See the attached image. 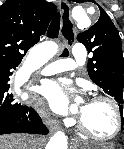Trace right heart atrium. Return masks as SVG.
I'll use <instances>...</instances> for the list:
<instances>
[{"label":"right heart atrium","instance_id":"1","mask_svg":"<svg viewBox=\"0 0 124 149\" xmlns=\"http://www.w3.org/2000/svg\"><path fill=\"white\" fill-rule=\"evenodd\" d=\"M50 105H51V108H52V110L54 112H56V113H60L61 112L60 109L58 108V106L56 104H54L53 102H51ZM67 122H71V120L67 119Z\"/></svg>","mask_w":124,"mask_h":149}]
</instances>
